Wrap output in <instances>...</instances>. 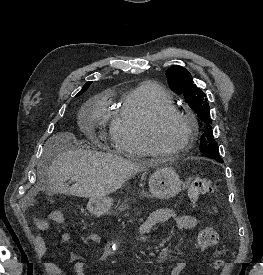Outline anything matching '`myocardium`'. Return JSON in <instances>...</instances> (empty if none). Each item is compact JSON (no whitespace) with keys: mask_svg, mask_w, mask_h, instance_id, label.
I'll use <instances>...</instances> for the list:
<instances>
[{"mask_svg":"<svg viewBox=\"0 0 263 275\" xmlns=\"http://www.w3.org/2000/svg\"><path fill=\"white\" fill-rule=\"evenodd\" d=\"M178 117L184 120L188 126V136L185 142L175 149H165L156 140V130L158 125L166 118ZM198 131L196 119L188 112L174 106L163 107L153 112L146 120L144 125V136L146 142L155 155L176 156L188 151L193 145Z\"/></svg>","mask_w":263,"mask_h":275,"instance_id":"1","label":"myocardium"}]
</instances>
